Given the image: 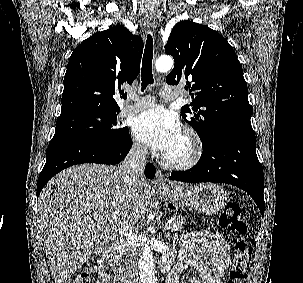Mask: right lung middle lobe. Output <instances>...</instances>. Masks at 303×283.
<instances>
[{
	"label": "right lung middle lobe",
	"instance_id": "1",
	"mask_svg": "<svg viewBox=\"0 0 303 283\" xmlns=\"http://www.w3.org/2000/svg\"><path fill=\"white\" fill-rule=\"evenodd\" d=\"M119 111L86 110L59 116L51 141L67 138L114 142L128 135L127 127H119Z\"/></svg>",
	"mask_w": 303,
	"mask_h": 283
}]
</instances>
